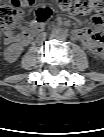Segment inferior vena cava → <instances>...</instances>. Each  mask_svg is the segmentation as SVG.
Instances as JSON below:
<instances>
[{"mask_svg": "<svg viewBox=\"0 0 104 137\" xmlns=\"http://www.w3.org/2000/svg\"><path fill=\"white\" fill-rule=\"evenodd\" d=\"M38 42L42 45H45L48 42V37L46 35H40L38 37Z\"/></svg>", "mask_w": 104, "mask_h": 137, "instance_id": "inferior-vena-cava-1", "label": "inferior vena cava"}]
</instances>
